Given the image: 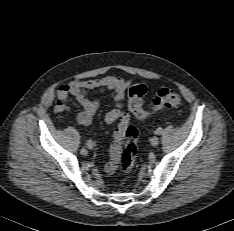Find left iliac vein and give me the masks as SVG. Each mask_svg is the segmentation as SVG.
<instances>
[{
	"instance_id": "obj_1",
	"label": "left iliac vein",
	"mask_w": 234,
	"mask_h": 231,
	"mask_svg": "<svg viewBox=\"0 0 234 231\" xmlns=\"http://www.w3.org/2000/svg\"><path fill=\"white\" fill-rule=\"evenodd\" d=\"M150 143L152 146H157L159 144V138L157 136H153L151 139H150Z\"/></svg>"
}]
</instances>
